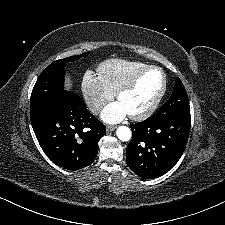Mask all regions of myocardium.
I'll list each match as a JSON object with an SVG mask.
<instances>
[{
  "instance_id": "myocardium-1",
  "label": "myocardium",
  "mask_w": 225,
  "mask_h": 225,
  "mask_svg": "<svg viewBox=\"0 0 225 225\" xmlns=\"http://www.w3.org/2000/svg\"><path fill=\"white\" fill-rule=\"evenodd\" d=\"M149 70H156L161 73L162 75L161 90L155 97L154 101L150 104V106L147 109H145L142 113L136 115H129V117L134 121H141L148 118L154 113V111L160 104L167 89V78L165 72L163 71L162 68L155 65L146 66L143 69H141L129 82H127L124 86H122L116 93V98L117 100H119L124 94L132 91L137 86L138 82L143 77V75Z\"/></svg>"
}]
</instances>
